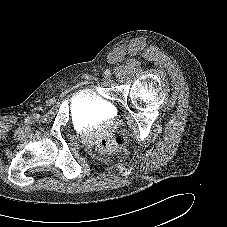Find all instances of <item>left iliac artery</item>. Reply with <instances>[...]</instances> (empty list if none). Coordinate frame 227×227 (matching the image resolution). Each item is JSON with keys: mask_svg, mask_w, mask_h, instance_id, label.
<instances>
[{"mask_svg": "<svg viewBox=\"0 0 227 227\" xmlns=\"http://www.w3.org/2000/svg\"><path fill=\"white\" fill-rule=\"evenodd\" d=\"M105 75H106V76H110V75H111V71H110L109 69H107V70L105 71Z\"/></svg>", "mask_w": 227, "mask_h": 227, "instance_id": "1", "label": "left iliac artery"}]
</instances>
